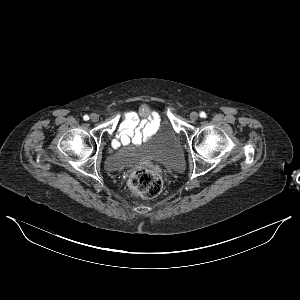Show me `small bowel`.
I'll return each mask as SVG.
<instances>
[{"mask_svg": "<svg viewBox=\"0 0 300 300\" xmlns=\"http://www.w3.org/2000/svg\"><path fill=\"white\" fill-rule=\"evenodd\" d=\"M157 122L158 117L155 115L139 121L135 113H126L118 126L116 134L117 140H113L112 145L117 147L120 144L119 142L122 144H127L130 141L140 142L152 134Z\"/></svg>", "mask_w": 300, "mask_h": 300, "instance_id": "obj_1", "label": "small bowel"}]
</instances>
